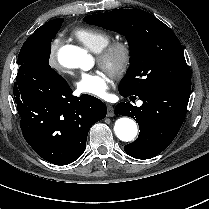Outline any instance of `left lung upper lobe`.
<instances>
[{
  "mask_svg": "<svg viewBox=\"0 0 209 209\" xmlns=\"http://www.w3.org/2000/svg\"><path fill=\"white\" fill-rule=\"evenodd\" d=\"M84 21L125 35L131 66L119 84V93L137 95L153 86L191 87L182 46L174 32L140 9H119L84 17Z\"/></svg>",
  "mask_w": 209,
  "mask_h": 209,
  "instance_id": "left-lung-upper-lobe-1",
  "label": "left lung upper lobe"
}]
</instances>
